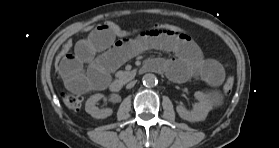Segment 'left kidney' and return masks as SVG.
I'll return each mask as SVG.
<instances>
[{
    "label": "left kidney",
    "instance_id": "1",
    "mask_svg": "<svg viewBox=\"0 0 279 148\" xmlns=\"http://www.w3.org/2000/svg\"><path fill=\"white\" fill-rule=\"evenodd\" d=\"M194 96L198 102L193 105L192 110L189 111L182 105H178L176 110L179 116L184 120L190 122L203 121L212 109V103L209 97L201 91H196Z\"/></svg>",
    "mask_w": 279,
    "mask_h": 148
}]
</instances>
